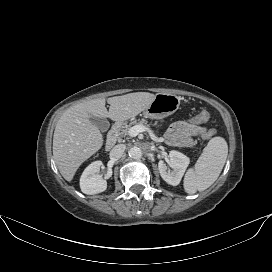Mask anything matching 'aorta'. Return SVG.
<instances>
[{"label": "aorta", "instance_id": "obj_1", "mask_svg": "<svg viewBox=\"0 0 272 272\" xmlns=\"http://www.w3.org/2000/svg\"><path fill=\"white\" fill-rule=\"evenodd\" d=\"M129 156L133 159H140L142 157V150L138 147H132L129 149Z\"/></svg>", "mask_w": 272, "mask_h": 272}]
</instances>
